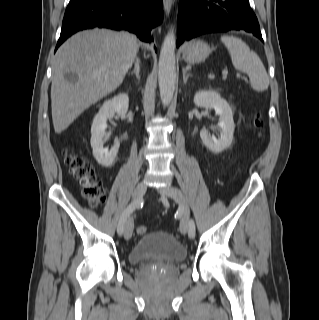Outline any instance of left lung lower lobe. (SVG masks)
Listing matches in <instances>:
<instances>
[{"label":"left lung lower lobe","mask_w":319,"mask_h":320,"mask_svg":"<svg viewBox=\"0 0 319 320\" xmlns=\"http://www.w3.org/2000/svg\"><path fill=\"white\" fill-rule=\"evenodd\" d=\"M228 30H244L263 41L248 0H180L177 46L185 39Z\"/></svg>","instance_id":"1"}]
</instances>
